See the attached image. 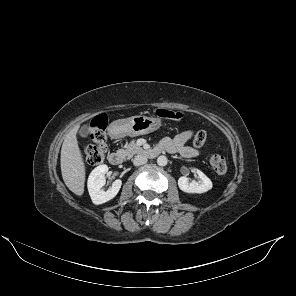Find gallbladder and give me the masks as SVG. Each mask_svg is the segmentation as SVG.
<instances>
[{
    "label": "gallbladder",
    "instance_id": "bac80fb5",
    "mask_svg": "<svg viewBox=\"0 0 296 296\" xmlns=\"http://www.w3.org/2000/svg\"><path fill=\"white\" fill-rule=\"evenodd\" d=\"M79 134L81 137H87L89 134V126L88 125H84L80 130H79Z\"/></svg>",
    "mask_w": 296,
    "mask_h": 296
}]
</instances>
